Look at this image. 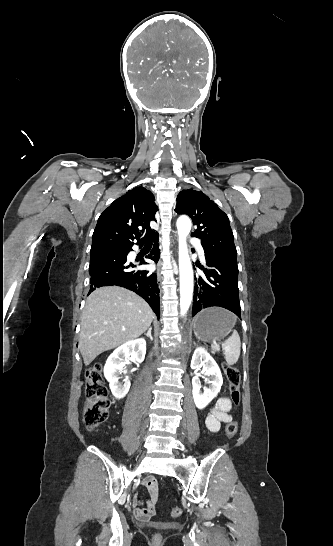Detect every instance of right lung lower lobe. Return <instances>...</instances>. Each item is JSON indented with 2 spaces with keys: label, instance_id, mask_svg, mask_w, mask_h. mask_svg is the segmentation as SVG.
<instances>
[{
  "label": "right lung lower lobe",
  "instance_id": "1",
  "mask_svg": "<svg viewBox=\"0 0 333 546\" xmlns=\"http://www.w3.org/2000/svg\"><path fill=\"white\" fill-rule=\"evenodd\" d=\"M149 239L156 243L147 258L157 263L159 260L158 235L154 234L147 240ZM144 242L137 244L142 246ZM133 245L116 243L91 248L89 266L91 285L88 294L103 286L125 287L143 297L159 318V289L156 274L147 270H137L138 263L127 259ZM141 264L147 263L140 260Z\"/></svg>",
  "mask_w": 333,
  "mask_h": 546
}]
</instances>
